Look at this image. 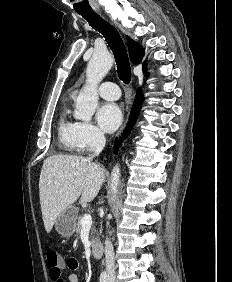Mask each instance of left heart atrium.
I'll return each instance as SVG.
<instances>
[{"label": "left heart atrium", "instance_id": "obj_1", "mask_svg": "<svg viewBox=\"0 0 232 282\" xmlns=\"http://www.w3.org/2000/svg\"><path fill=\"white\" fill-rule=\"evenodd\" d=\"M97 122L106 132H114L122 122V112L115 103H105L97 111Z\"/></svg>", "mask_w": 232, "mask_h": 282}]
</instances>
